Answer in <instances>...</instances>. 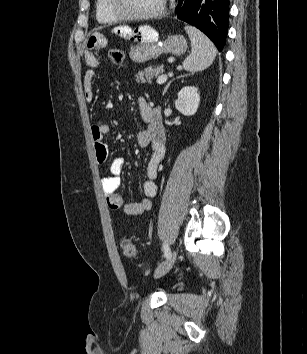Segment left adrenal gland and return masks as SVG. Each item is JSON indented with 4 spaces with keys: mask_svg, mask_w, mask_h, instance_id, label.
Listing matches in <instances>:
<instances>
[{
    "mask_svg": "<svg viewBox=\"0 0 307 354\" xmlns=\"http://www.w3.org/2000/svg\"><path fill=\"white\" fill-rule=\"evenodd\" d=\"M185 76H187V75H185ZM185 76H181V77H185ZM171 83H172V81H170V82L167 83V85L165 86V88H164V90H163V95H165V93L167 92V90H168V88H169V86H170Z\"/></svg>",
    "mask_w": 307,
    "mask_h": 354,
    "instance_id": "a2214340",
    "label": "left adrenal gland"
}]
</instances>
